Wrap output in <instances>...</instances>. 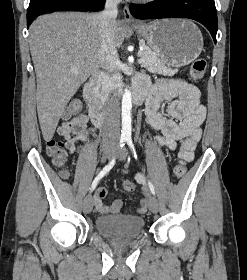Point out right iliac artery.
I'll return each mask as SVG.
<instances>
[{
    "mask_svg": "<svg viewBox=\"0 0 247 280\" xmlns=\"http://www.w3.org/2000/svg\"><path fill=\"white\" fill-rule=\"evenodd\" d=\"M125 142H126V137H121L119 140L118 149H122V147L125 145ZM115 159H116V156H114L112 158V160L108 163V165H106L103 168V170L97 175V177L93 180L91 188H90L91 192L96 188L99 180L112 169V167L115 164Z\"/></svg>",
    "mask_w": 247,
    "mask_h": 280,
    "instance_id": "1",
    "label": "right iliac artery"
}]
</instances>
